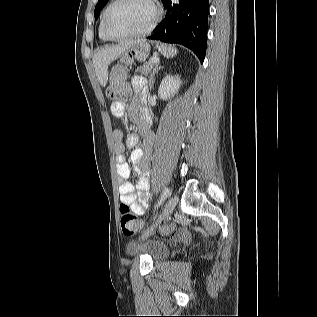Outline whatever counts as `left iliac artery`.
Returning a JSON list of instances; mask_svg holds the SVG:
<instances>
[{"label":"left iliac artery","mask_w":317,"mask_h":317,"mask_svg":"<svg viewBox=\"0 0 317 317\" xmlns=\"http://www.w3.org/2000/svg\"><path fill=\"white\" fill-rule=\"evenodd\" d=\"M170 195H171L170 189L167 188V187H165L164 190H163V192H162V195H161V197H160V199H159V201H158V203H157L156 206H155V209H156V208L158 209V207H159V206L164 202V200H165L167 197H169Z\"/></svg>","instance_id":"obj_1"}]
</instances>
